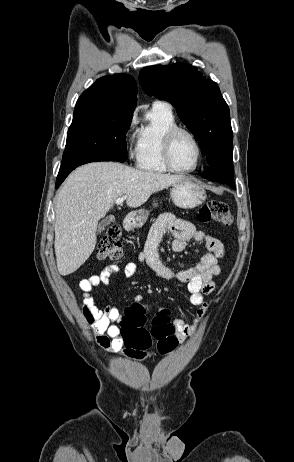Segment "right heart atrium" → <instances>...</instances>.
Listing matches in <instances>:
<instances>
[{
	"mask_svg": "<svg viewBox=\"0 0 294 462\" xmlns=\"http://www.w3.org/2000/svg\"><path fill=\"white\" fill-rule=\"evenodd\" d=\"M133 124H134V118L131 119V121H130V123H129V128L132 127ZM126 142H127L128 147H129V148H132V146H133V141L130 140V139H128Z\"/></svg>",
	"mask_w": 294,
	"mask_h": 462,
	"instance_id": "right-heart-atrium-1",
	"label": "right heart atrium"
}]
</instances>
